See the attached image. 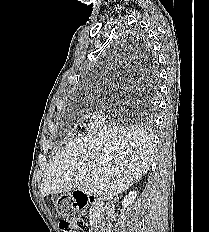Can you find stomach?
Listing matches in <instances>:
<instances>
[{"mask_svg": "<svg viewBox=\"0 0 209 232\" xmlns=\"http://www.w3.org/2000/svg\"><path fill=\"white\" fill-rule=\"evenodd\" d=\"M77 198H72L71 194H60L56 201V210L60 214V218H68L69 221H74L77 218Z\"/></svg>", "mask_w": 209, "mask_h": 232, "instance_id": "obj_1", "label": "stomach"}]
</instances>
